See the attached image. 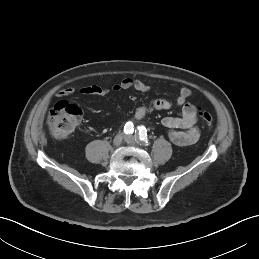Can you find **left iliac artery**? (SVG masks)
<instances>
[{"instance_id": "left-iliac-artery-1", "label": "left iliac artery", "mask_w": 259, "mask_h": 259, "mask_svg": "<svg viewBox=\"0 0 259 259\" xmlns=\"http://www.w3.org/2000/svg\"><path fill=\"white\" fill-rule=\"evenodd\" d=\"M137 143L140 145H149L148 137H147V130L144 126L138 127L137 134L135 135Z\"/></svg>"}]
</instances>
